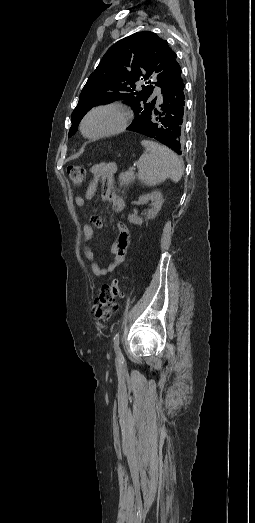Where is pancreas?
<instances>
[{
  "instance_id": "1",
  "label": "pancreas",
  "mask_w": 255,
  "mask_h": 523,
  "mask_svg": "<svg viewBox=\"0 0 255 523\" xmlns=\"http://www.w3.org/2000/svg\"><path fill=\"white\" fill-rule=\"evenodd\" d=\"M134 180L135 176L133 173L129 174L128 172H122L119 176L120 186H124V188H126L128 184H131V182H134Z\"/></svg>"
}]
</instances>
